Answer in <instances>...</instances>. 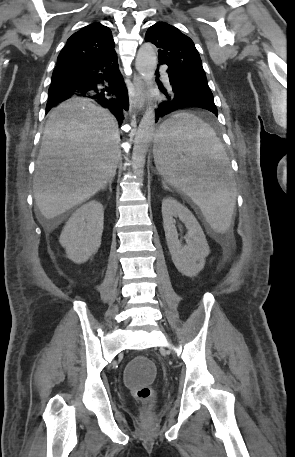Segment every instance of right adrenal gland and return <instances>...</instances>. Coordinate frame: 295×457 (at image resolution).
<instances>
[{
  "label": "right adrenal gland",
  "mask_w": 295,
  "mask_h": 457,
  "mask_svg": "<svg viewBox=\"0 0 295 457\" xmlns=\"http://www.w3.org/2000/svg\"><path fill=\"white\" fill-rule=\"evenodd\" d=\"M112 182H113V179H111L109 182H108V187H109V191L112 192ZM107 188V186L103 187L102 190H105Z\"/></svg>",
  "instance_id": "right-adrenal-gland-1"
}]
</instances>
